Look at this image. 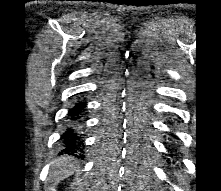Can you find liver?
Returning a JSON list of instances; mask_svg holds the SVG:
<instances>
[{
    "mask_svg": "<svg viewBox=\"0 0 221 191\" xmlns=\"http://www.w3.org/2000/svg\"><path fill=\"white\" fill-rule=\"evenodd\" d=\"M71 160V157L63 156L53 162L52 181L57 182L73 173V163Z\"/></svg>",
    "mask_w": 221,
    "mask_h": 191,
    "instance_id": "liver-1",
    "label": "liver"
}]
</instances>
